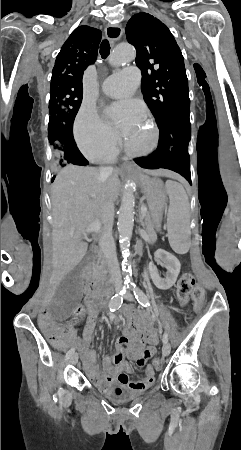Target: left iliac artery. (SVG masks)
<instances>
[{
    "mask_svg": "<svg viewBox=\"0 0 241 450\" xmlns=\"http://www.w3.org/2000/svg\"><path fill=\"white\" fill-rule=\"evenodd\" d=\"M133 293L135 295V298L139 302V304H141L144 307L150 306V302H149V299L146 296V294L141 289L136 287L135 285L133 286ZM162 341L164 344L168 342L167 334H165V333L163 334Z\"/></svg>",
    "mask_w": 241,
    "mask_h": 450,
    "instance_id": "1",
    "label": "left iliac artery"
}]
</instances>
